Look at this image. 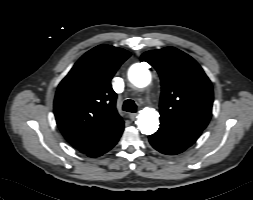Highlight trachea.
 Returning <instances> with one entry per match:
<instances>
[{"label": "trachea", "instance_id": "obj_1", "mask_svg": "<svg viewBox=\"0 0 253 200\" xmlns=\"http://www.w3.org/2000/svg\"><path fill=\"white\" fill-rule=\"evenodd\" d=\"M123 110L126 112L135 113L137 110V106L133 100H126L123 104Z\"/></svg>", "mask_w": 253, "mask_h": 200}]
</instances>
